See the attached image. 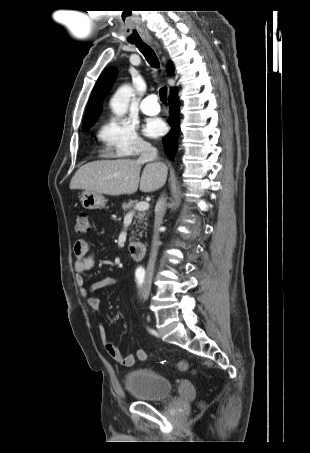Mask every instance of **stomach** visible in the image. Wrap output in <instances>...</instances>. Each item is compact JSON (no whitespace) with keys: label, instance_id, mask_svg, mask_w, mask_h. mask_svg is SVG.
Here are the masks:
<instances>
[{"label":"stomach","instance_id":"1","mask_svg":"<svg viewBox=\"0 0 310 453\" xmlns=\"http://www.w3.org/2000/svg\"><path fill=\"white\" fill-rule=\"evenodd\" d=\"M81 204L85 209H102L105 207V198L101 193L84 191L80 197Z\"/></svg>","mask_w":310,"mask_h":453}]
</instances>
